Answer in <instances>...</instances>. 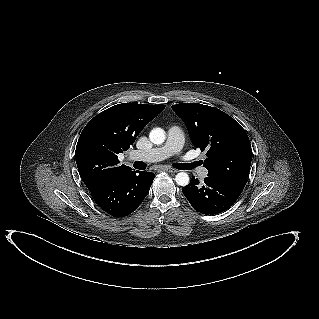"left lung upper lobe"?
I'll use <instances>...</instances> for the list:
<instances>
[{
  "label": "left lung upper lobe",
  "instance_id": "obj_1",
  "mask_svg": "<svg viewBox=\"0 0 319 319\" xmlns=\"http://www.w3.org/2000/svg\"><path fill=\"white\" fill-rule=\"evenodd\" d=\"M185 122L195 147L207 151L208 176L243 191L250 171L252 150L245 130L228 114L202 104L171 106Z\"/></svg>",
  "mask_w": 319,
  "mask_h": 319
}]
</instances>
